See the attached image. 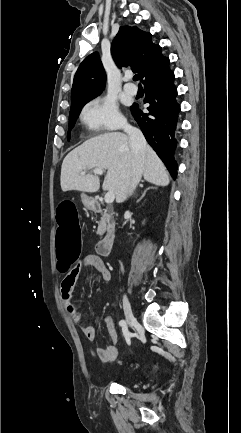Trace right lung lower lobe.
<instances>
[{"label":"right lung lower lobe","mask_w":241,"mask_h":433,"mask_svg":"<svg viewBox=\"0 0 241 433\" xmlns=\"http://www.w3.org/2000/svg\"><path fill=\"white\" fill-rule=\"evenodd\" d=\"M174 73L169 63L157 74L146 79L144 103H149L148 113L131 107L132 114L140 126L146 140L165 163L167 169L176 178L177 163L175 150L177 147V125L180 105L176 100L177 89L173 84Z\"/></svg>","instance_id":"1"}]
</instances>
